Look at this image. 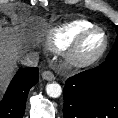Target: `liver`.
<instances>
[{
    "mask_svg": "<svg viewBox=\"0 0 118 118\" xmlns=\"http://www.w3.org/2000/svg\"><path fill=\"white\" fill-rule=\"evenodd\" d=\"M41 36V33L36 32L33 38L38 40ZM26 40L27 37L19 33L17 26H0V93L8 85L17 62L23 57Z\"/></svg>",
    "mask_w": 118,
    "mask_h": 118,
    "instance_id": "liver-1",
    "label": "liver"
}]
</instances>
